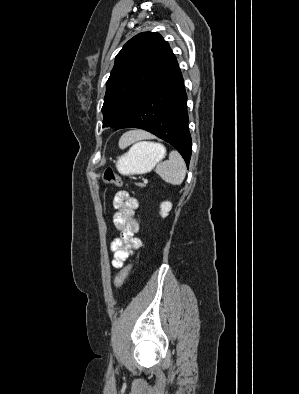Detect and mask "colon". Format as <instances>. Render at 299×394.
<instances>
[{
  "label": "colon",
  "mask_w": 299,
  "mask_h": 394,
  "mask_svg": "<svg viewBox=\"0 0 299 394\" xmlns=\"http://www.w3.org/2000/svg\"><path fill=\"white\" fill-rule=\"evenodd\" d=\"M103 180L107 184H112V185H116V186H121L123 184V180H122L121 176L118 173H116L115 171H113L111 168H107L103 171ZM130 268H131V265H126L117 274L116 279H115V283H114V286L116 289L120 288L123 285L125 279L128 276Z\"/></svg>",
  "instance_id": "5ec220e1"
}]
</instances>
